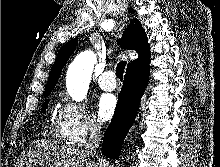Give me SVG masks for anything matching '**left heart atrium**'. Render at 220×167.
I'll use <instances>...</instances> for the list:
<instances>
[{"mask_svg": "<svg viewBox=\"0 0 220 167\" xmlns=\"http://www.w3.org/2000/svg\"><path fill=\"white\" fill-rule=\"evenodd\" d=\"M117 107L116 97L112 94H103L97 103V115L101 121L109 120L115 113Z\"/></svg>", "mask_w": 220, "mask_h": 167, "instance_id": "39dd6f15", "label": "left heart atrium"}]
</instances>
